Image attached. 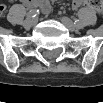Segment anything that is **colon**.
I'll use <instances>...</instances> for the list:
<instances>
[{"mask_svg": "<svg viewBox=\"0 0 103 103\" xmlns=\"http://www.w3.org/2000/svg\"><path fill=\"white\" fill-rule=\"evenodd\" d=\"M86 5L96 10L98 13L103 12V3L101 0H88L85 2ZM4 12L3 6L0 7V14Z\"/></svg>", "mask_w": 103, "mask_h": 103, "instance_id": "colon-1", "label": "colon"}]
</instances>
